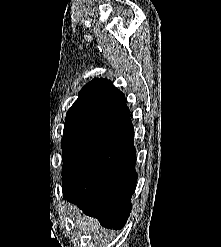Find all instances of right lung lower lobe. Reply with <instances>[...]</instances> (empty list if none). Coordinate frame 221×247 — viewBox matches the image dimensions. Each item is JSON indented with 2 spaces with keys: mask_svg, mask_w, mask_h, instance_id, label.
Listing matches in <instances>:
<instances>
[{
  "mask_svg": "<svg viewBox=\"0 0 221 247\" xmlns=\"http://www.w3.org/2000/svg\"><path fill=\"white\" fill-rule=\"evenodd\" d=\"M130 114L82 130L63 151V199L101 225L122 229L131 212L137 173Z\"/></svg>",
  "mask_w": 221,
  "mask_h": 247,
  "instance_id": "1",
  "label": "right lung lower lobe"
}]
</instances>
